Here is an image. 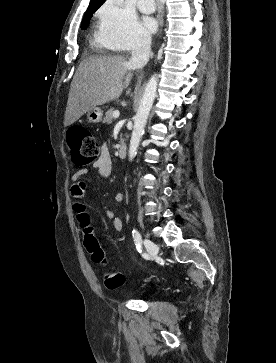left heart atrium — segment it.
I'll list each match as a JSON object with an SVG mask.
<instances>
[{
  "label": "left heart atrium",
  "mask_w": 276,
  "mask_h": 363,
  "mask_svg": "<svg viewBox=\"0 0 276 363\" xmlns=\"http://www.w3.org/2000/svg\"><path fill=\"white\" fill-rule=\"evenodd\" d=\"M142 24L144 29L148 32V33H152L156 30L157 27V21L155 18L150 17V16H145L142 19Z\"/></svg>",
  "instance_id": "left-heart-atrium-1"
}]
</instances>
